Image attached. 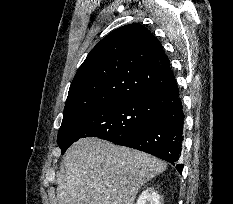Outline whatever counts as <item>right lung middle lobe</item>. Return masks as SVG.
Listing matches in <instances>:
<instances>
[{
	"mask_svg": "<svg viewBox=\"0 0 233 204\" xmlns=\"http://www.w3.org/2000/svg\"><path fill=\"white\" fill-rule=\"evenodd\" d=\"M157 119L151 96L114 101L71 120L59 129L57 143L64 154L82 137H98L112 141L122 134L133 133Z\"/></svg>",
	"mask_w": 233,
	"mask_h": 204,
	"instance_id": "obj_1",
	"label": "right lung middle lobe"
}]
</instances>
